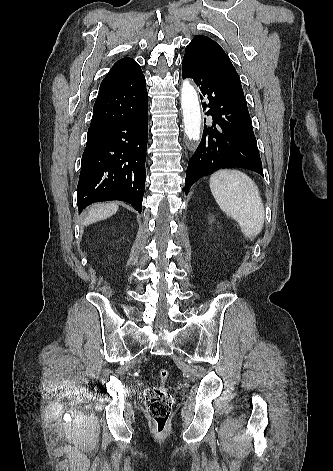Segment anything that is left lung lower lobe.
I'll return each mask as SVG.
<instances>
[{
	"instance_id": "0a47b994",
	"label": "left lung lower lobe",
	"mask_w": 333,
	"mask_h": 471,
	"mask_svg": "<svg viewBox=\"0 0 333 471\" xmlns=\"http://www.w3.org/2000/svg\"><path fill=\"white\" fill-rule=\"evenodd\" d=\"M182 78H193L200 89L211 127L204 126L202 140L187 167L185 192L199 177L218 169L240 167L263 176V167L248 108L231 88L201 61L184 56ZM206 121V119H204Z\"/></svg>"
}]
</instances>
